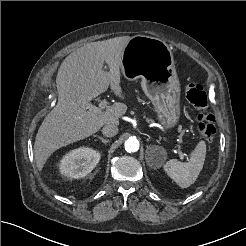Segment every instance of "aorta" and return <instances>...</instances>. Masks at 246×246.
<instances>
[{
    "instance_id": "762f6f07",
    "label": "aorta",
    "mask_w": 246,
    "mask_h": 246,
    "mask_svg": "<svg viewBox=\"0 0 246 246\" xmlns=\"http://www.w3.org/2000/svg\"><path fill=\"white\" fill-rule=\"evenodd\" d=\"M124 147L129 153L137 152L139 150V141L134 137H130L125 141Z\"/></svg>"
}]
</instances>
